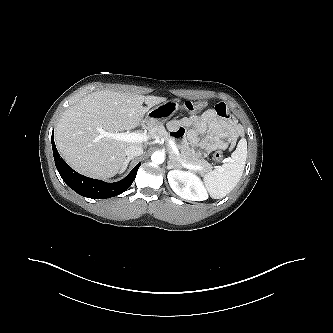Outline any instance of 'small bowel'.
Wrapping results in <instances>:
<instances>
[{
	"label": "small bowel",
	"instance_id": "c3829d8e",
	"mask_svg": "<svg viewBox=\"0 0 333 333\" xmlns=\"http://www.w3.org/2000/svg\"><path fill=\"white\" fill-rule=\"evenodd\" d=\"M169 129L182 139L184 149L195 156H206L216 149H232L243 130L225 103L201 115L172 120Z\"/></svg>",
	"mask_w": 333,
	"mask_h": 333
}]
</instances>
